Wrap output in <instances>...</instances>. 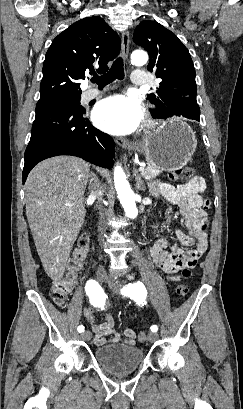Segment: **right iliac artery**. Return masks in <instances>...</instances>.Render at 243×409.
<instances>
[{
  "instance_id": "82829eb1",
  "label": "right iliac artery",
  "mask_w": 243,
  "mask_h": 409,
  "mask_svg": "<svg viewBox=\"0 0 243 409\" xmlns=\"http://www.w3.org/2000/svg\"><path fill=\"white\" fill-rule=\"evenodd\" d=\"M86 294L90 298V302L94 306H101L105 301V294L101 286L95 280H89L85 286ZM78 332H84V326L80 325L77 328Z\"/></svg>"
}]
</instances>
